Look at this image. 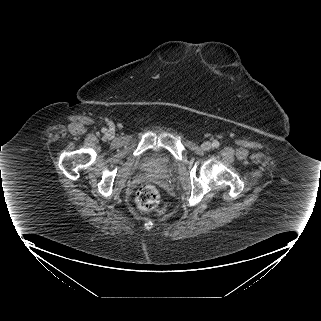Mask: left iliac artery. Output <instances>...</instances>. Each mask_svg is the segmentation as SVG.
I'll return each instance as SVG.
<instances>
[{
	"label": "left iliac artery",
	"mask_w": 321,
	"mask_h": 321,
	"mask_svg": "<svg viewBox=\"0 0 321 321\" xmlns=\"http://www.w3.org/2000/svg\"><path fill=\"white\" fill-rule=\"evenodd\" d=\"M212 146L215 147V148L219 147V142L216 141V140L213 141Z\"/></svg>",
	"instance_id": "44dca946"
}]
</instances>
